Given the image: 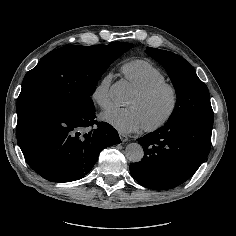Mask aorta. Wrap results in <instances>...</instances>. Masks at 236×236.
<instances>
[{
    "instance_id": "aorta-1",
    "label": "aorta",
    "mask_w": 236,
    "mask_h": 236,
    "mask_svg": "<svg viewBox=\"0 0 236 236\" xmlns=\"http://www.w3.org/2000/svg\"><path fill=\"white\" fill-rule=\"evenodd\" d=\"M126 158L135 163L143 159L144 151L142 146L139 143H130L125 148Z\"/></svg>"
}]
</instances>
